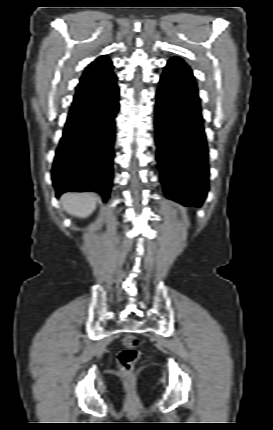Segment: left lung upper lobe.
<instances>
[{
    "label": "left lung upper lobe",
    "instance_id": "5c2ea615",
    "mask_svg": "<svg viewBox=\"0 0 273 430\" xmlns=\"http://www.w3.org/2000/svg\"><path fill=\"white\" fill-rule=\"evenodd\" d=\"M170 71L186 72L187 77L182 81L183 88L198 92V86L195 82L192 71L182 59L178 57L171 58L165 67L164 73H168Z\"/></svg>",
    "mask_w": 273,
    "mask_h": 430
}]
</instances>
